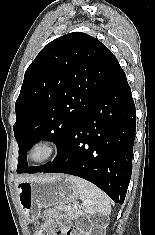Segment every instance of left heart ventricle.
Returning <instances> with one entry per match:
<instances>
[{
    "label": "left heart ventricle",
    "instance_id": "b2bd125f",
    "mask_svg": "<svg viewBox=\"0 0 155 235\" xmlns=\"http://www.w3.org/2000/svg\"><path fill=\"white\" fill-rule=\"evenodd\" d=\"M44 155H45V150L43 148L37 149L34 152V157L37 159L42 158Z\"/></svg>",
    "mask_w": 155,
    "mask_h": 235
}]
</instances>
